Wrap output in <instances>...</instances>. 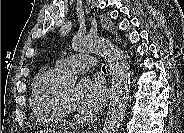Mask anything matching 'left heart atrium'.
<instances>
[{"label": "left heart atrium", "mask_w": 184, "mask_h": 133, "mask_svg": "<svg viewBox=\"0 0 184 133\" xmlns=\"http://www.w3.org/2000/svg\"><path fill=\"white\" fill-rule=\"evenodd\" d=\"M105 99V89L99 82L83 79L76 87L73 103L76 110L84 113L97 111Z\"/></svg>", "instance_id": "obj_1"}]
</instances>
